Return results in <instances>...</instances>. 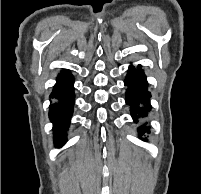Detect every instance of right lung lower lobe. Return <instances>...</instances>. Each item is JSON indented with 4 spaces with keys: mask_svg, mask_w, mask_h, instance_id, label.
Instances as JSON below:
<instances>
[{
    "mask_svg": "<svg viewBox=\"0 0 201 194\" xmlns=\"http://www.w3.org/2000/svg\"><path fill=\"white\" fill-rule=\"evenodd\" d=\"M50 95L57 102L50 105L49 118L53 123L55 145L61 147L66 137L64 131L69 127L74 105V79L68 70H62Z\"/></svg>",
    "mask_w": 201,
    "mask_h": 194,
    "instance_id": "right-lung-lower-lobe-1",
    "label": "right lung lower lobe"
}]
</instances>
